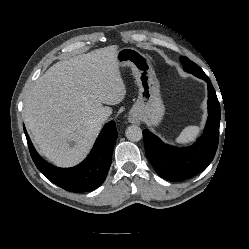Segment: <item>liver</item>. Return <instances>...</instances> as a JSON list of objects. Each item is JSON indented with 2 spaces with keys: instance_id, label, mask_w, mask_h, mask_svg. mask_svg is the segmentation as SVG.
Here are the masks:
<instances>
[{
  "instance_id": "obj_1",
  "label": "liver",
  "mask_w": 249,
  "mask_h": 249,
  "mask_svg": "<svg viewBox=\"0 0 249 249\" xmlns=\"http://www.w3.org/2000/svg\"><path fill=\"white\" fill-rule=\"evenodd\" d=\"M108 46L51 66L26 95L24 122L39 151L60 167H71L89 153L102 123L98 115L112 109L126 88Z\"/></svg>"
}]
</instances>
